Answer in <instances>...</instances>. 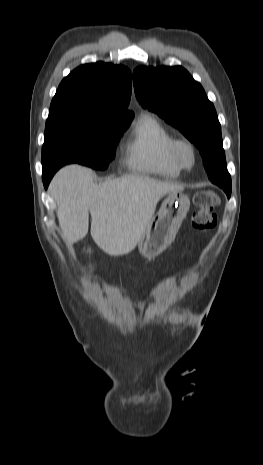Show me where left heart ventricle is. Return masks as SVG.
Instances as JSON below:
<instances>
[{
  "label": "left heart ventricle",
  "instance_id": "obj_1",
  "mask_svg": "<svg viewBox=\"0 0 263 465\" xmlns=\"http://www.w3.org/2000/svg\"><path fill=\"white\" fill-rule=\"evenodd\" d=\"M182 155H183V157L185 158L186 161H190L191 156H190V152H189L188 149L184 148L182 150Z\"/></svg>",
  "mask_w": 263,
  "mask_h": 465
}]
</instances>
